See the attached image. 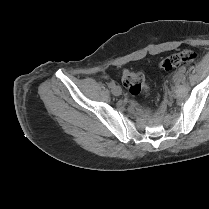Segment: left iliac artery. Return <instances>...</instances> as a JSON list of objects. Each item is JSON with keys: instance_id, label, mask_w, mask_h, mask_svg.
<instances>
[{"instance_id": "left-iliac-artery-1", "label": "left iliac artery", "mask_w": 209, "mask_h": 209, "mask_svg": "<svg viewBox=\"0 0 209 209\" xmlns=\"http://www.w3.org/2000/svg\"><path fill=\"white\" fill-rule=\"evenodd\" d=\"M185 70H186V69H185V67H183V66H180V67L178 68V71H179L180 73H183Z\"/></svg>"}]
</instances>
